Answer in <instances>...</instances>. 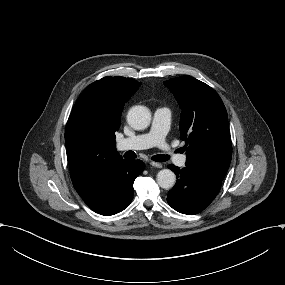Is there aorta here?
Masks as SVG:
<instances>
[{
  "mask_svg": "<svg viewBox=\"0 0 285 285\" xmlns=\"http://www.w3.org/2000/svg\"><path fill=\"white\" fill-rule=\"evenodd\" d=\"M128 124L136 130H142L151 122V112L145 106H134L127 114ZM176 181V175L169 169H162L157 174V183L163 189H171Z\"/></svg>",
  "mask_w": 285,
  "mask_h": 285,
  "instance_id": "aorta-1",
  "label": "aorta"
}]
</instances>
